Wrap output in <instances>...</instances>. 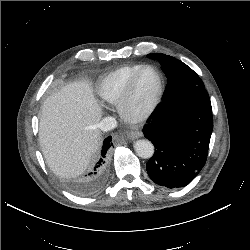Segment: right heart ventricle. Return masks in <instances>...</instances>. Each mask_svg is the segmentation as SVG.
<instances>
[{
  "mask_svg": "<svg viewBox=\"0 0 250 250\" xmlns=\"http://www.w3.org/2000/svg\"><path fill=\"white\" fill-rule=\"evenodd\" d=\"M143 67L141 64L126 65L103 75L96 88L99 100L106 104H118L132 77Z\"/></svg>",
  "mask_w": 250,
  "mask_h": 250,
  "instance_id": "1",
  "label": "right heart ventricle"
}]
</instances>
